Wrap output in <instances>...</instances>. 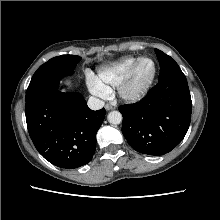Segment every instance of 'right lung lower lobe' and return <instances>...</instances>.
Listing matches in <instances>:
<instances>
[{
    "label": "right lung lower lobe",
    "instance_id": "98d812e1",
    "mask_svg": "<svg viewBox=\"0 0 220 220\" xmlns=\"http://www.w3.org/2000/svg\"><path fill=\"white\" fill-rule=\"evenodd\" d=\"M25 113L33 144L50 163L74 169L92 159L104 108L89 109L79 93L48 90L26 101Z\"/></svg>",
    "mask_w": 220,
    "mask_h": 220
}]
</instances>
